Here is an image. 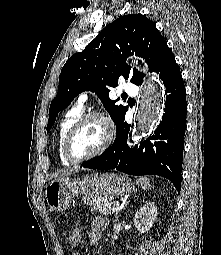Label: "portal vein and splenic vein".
<instances>
[{
	"label": "portal vein and splenic vein",
	"mask_w": 221,
	"mask_h": 255,
	"mask_svg": "<svg viewBox=\"0 0 221 255\" xmlns=\"http://www.w3.org/2000/svg\"><path fill=\"white\" fill-rule=\"evenodd\" d=\"M111 210H112V212H116L119 210V207H113Z\"/></svg>",
	"instance_id": "1"
}]
</instances>
